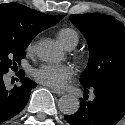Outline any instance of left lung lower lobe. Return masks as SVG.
I'll use <instances>...</instances> for the list:
<instances>
[{"mask_svg":"<svg viewBox=\"0 0 125 125\" xmlns=\"http://www.w3.org/2000/svg\"><path fill=\"white\" fill-rule=\"evenodd\" d=\"M92 88L95 99H81L79 110L65 120L70 125H115L125 115V81H103Z\"/></svg>","mask_w":125,"mask_h":125,"instance_id":"obj_1","label":"left lung lower lobe"}]
</instances>
